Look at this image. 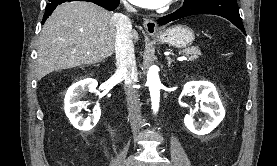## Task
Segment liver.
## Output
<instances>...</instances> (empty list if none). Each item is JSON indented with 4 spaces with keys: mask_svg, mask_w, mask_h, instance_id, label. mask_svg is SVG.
<instances>
[{
    "mask_svg": "<svg viewBox=\"0 0 277 166\" xmlns=\"http://www.w3.org/2000/svg\"><path fill=\"white\" fill-rule=\"evenodd\" d=\"M132 39L138 42L136 30ZM114 14L90 2L59 5L43 25L38 42L37 77L80 65H93L115 49Z\"/></svg>",
    "mask_w": 277,
    "mask_h": 166,
    "instance_id": "6515ba94",
    "label": "liver"
}]
</instances>
